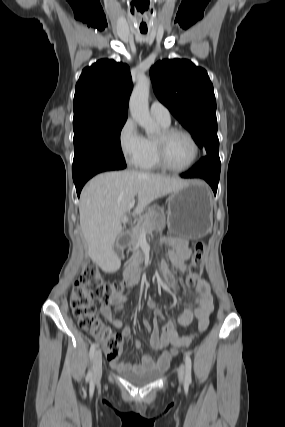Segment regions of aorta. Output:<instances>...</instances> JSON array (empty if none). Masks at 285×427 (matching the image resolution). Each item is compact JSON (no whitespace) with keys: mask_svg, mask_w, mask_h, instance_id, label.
<instances>
[{"mask_svg":"<svg viewBox=\"0 0 285 427\" xmlns=\"http://www.w3.org/2000/svg\"><path fill=\"white\" fill-rule=\"evenodd\" d=\"M150 84V79L146 76L139 77L129 101L132 118L145 130L148 136L158 131V126L149 112Z\"/></svg>","mask_w":285,"mask_h":427,"instance_id":"aorta-1","label":"aorta"}]
</instances>
